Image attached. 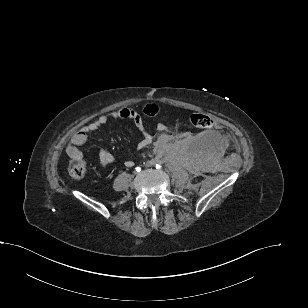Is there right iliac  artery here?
Here are the masks:
<instances>
[{
  "label": "right iliac artery",
  "instance_id": "82829eb1",
  "mask_svg": "<svg viewBox=\"0 0 308 308\" xmlns=\"http://www.w3.org/2000/svg\"><path fill=\"white\" fill-rule=\"evenodd\" d=\"M136 171H137V172H140V171H141V168H140V167H137V168H136Z\"/></svg>",
  "mask_w": 308,
  "mask_h": 308
}]
</instances>
